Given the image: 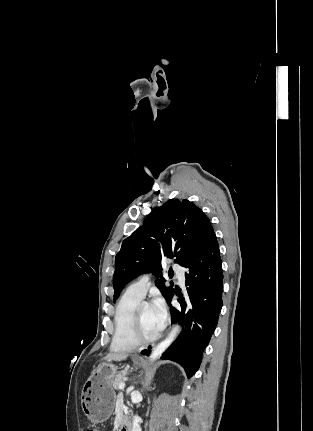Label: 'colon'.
Segmentation results:
<instances>
[{
    "mask_svg": "<svg viewBox=\"0 0 313 431\" xmlns=\"http://www.w3.org/2000/svg\"><path fill=\"white\" fill-rule=\"evenodd\" d=\"M88 431H98V430H96V429H90V430H88Z\"/></svg>",
    "mask_w": 313,
    "mask_h": 431,
    "instance_id": "colon-1",
    "label": "colon"
}]
</instances>
